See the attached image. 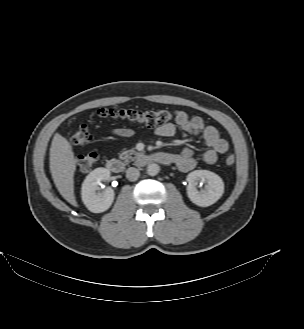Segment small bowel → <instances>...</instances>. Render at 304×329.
Masks as SVG:
<instances>
[{
	"label": "small bowel",
	"mask_w": 304,
	"mask_h": 329,
	"mask_svg": "<svg viewBox=\"0 0 304 329\" xmlns=\"http://www.w3.org/2000/svg\"><path fill=\"white\" fill-rule=\"evenodd\" d=\"M180 128L191 135H201L203 144L207 149L201 155V161L205 164H213L220 154H224L229 149V143L223 139L218 130L212 125H206L200 116L190 117L183 110L174 111V122L156 128V134L160 137H171ZM111 134L117 138H129L133 131L129 128H116ZM173 164L181 171L187 172L195 168L197 158L190 146L185 147L180 153L172 154Z\"/></svg>",
	"instance_id": "c3829d8e"
}]
</instances>
